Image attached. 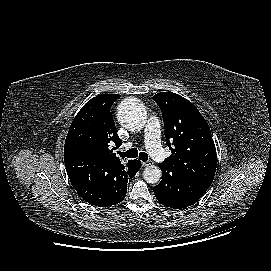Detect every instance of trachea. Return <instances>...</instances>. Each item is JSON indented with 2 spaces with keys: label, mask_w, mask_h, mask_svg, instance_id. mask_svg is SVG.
Instances as JSON below:
<instances>
[{
  "label": "trachea",
  "mask_w": 271,
  "mask_h": 271,
  "mask_svg": "<svg viewBox=\"0 0 271 271\" xmlns=\"http://www.w3.org/2000/svg\"><path fill=\"white\" fill-rule=\"evenodd\" d=\"M118 154L122 157V158H137L139 156V159L142 161H147L148 160V154L145 152H138V150L136 148H132L129 149L126 152H118Z\"/></svg>",
  "instance_id": "3493384b"
}]
</instances>
